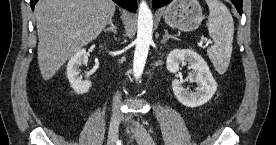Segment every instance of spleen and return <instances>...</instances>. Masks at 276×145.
<instances>
[{"label":"spleen","instance_id":"1","mask_svg":"<svg viewBox=\"0 0 276 145\" xmlns=\"http://www.w3.org/2000/svg\"><path fill=\"white\" fill-rule=\"evenodd\" d=\"M210 13L207 27L214 45L207 54L219 74L229 66L233 48L234 21L228 8L219 0H206Z\"/></svg>","mask_w":276,"mask_h":145}]
</instances>
